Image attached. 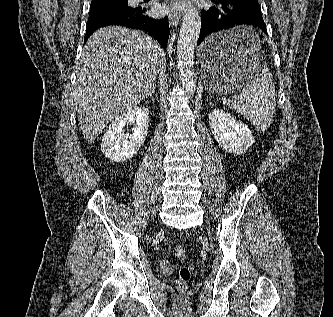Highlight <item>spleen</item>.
Listing matches in <instances>:
<instances>
[{"label":"spleen","instance_id":"3e777b00","mask_svg":"<svg viewBox=\"0 0 333 317\" xmlns=\"http://www.w3.org/2000/svg\"><path fill=\"white\" fill-rule=\"evenodd\" d=\"M239 41L253 47L260 43L257 33L242 26ZM230 108L248 119L255 128L263 132L269 128L275 115L276 94L269 70L261 68L242 88L237 97L229 103Z\"/></svg>","mask_w":333,"mask_h":317}]
</instances>
